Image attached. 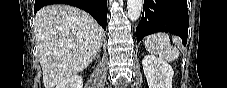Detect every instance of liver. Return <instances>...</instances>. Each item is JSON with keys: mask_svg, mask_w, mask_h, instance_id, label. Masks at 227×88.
<instances>
[{"mask_svg": "<svg viewBox=\"0 0 227 88\" xmlns=\"http://www.w3.org/2000/svg\"><path fill=\"white\" fill-rule=\"evenodd\" d=\"M104 31L85 11L64 4L48 5L35 16V37L45 88L89 66L102 46Z\"/></svg>", "mask_w": 227, "mask_h": 88, "instance_id": "6515ba94", "label": "liver"}]
</instances>
